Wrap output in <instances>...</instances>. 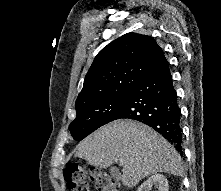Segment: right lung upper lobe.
<instances>
[{"label": "right lung upper lobe", "instance_id": "1", "mask_svg": "<svg viewBox=\"0 0 221 191\" xmlns=\"http://www.w3.org/2000/svg\"><path fill=\"white\" fill-rule=\"evenodd\" d=\"M166 61L152 37L132 32L119 37L95 57L76 100V111L132 91Z\"/></svg>", "mask_w": 221, "mask_h": 191}]
</instances>
